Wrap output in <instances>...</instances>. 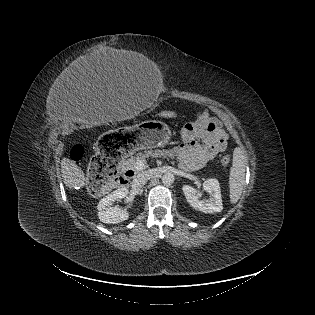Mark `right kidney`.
<instances>
[{
	"instance_id": "1",
	"label": "right kidney",
	"mask_w": 315,
	"mask_h": 315,
	"mask_svg": "<svg viewBox=\"0 0 315 315\" xmlns=\"http://www.w3.org/2000/svg\"><path fill=\"white\" fill-rule=\"evenodd\" d=\"M128 190L126 188L117 189L104 198H102L97 206L98 217L103 223L117 224L125 221L129 218V213L117 206L112 207V203L116 200L125 198L128 196Z\"/></svg>"
}]
</instances>
